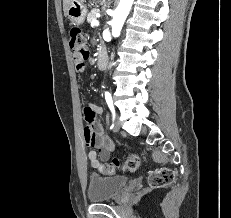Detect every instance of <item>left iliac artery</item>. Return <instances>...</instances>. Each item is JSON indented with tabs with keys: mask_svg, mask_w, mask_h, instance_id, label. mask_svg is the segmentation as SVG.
<instances>
[{
	"mask_svg": "<svg viewBox=\"0 0 231 218\" xmlns=\"http://www.w3.org/2000/svg\"><path fill=\"white\" fill-rule=\"evenodd\" d=\"M105 99H106L108 107L110 108V110H111V112L113 114V117H114L115 116V111H114L112 97H111V94L109 92H105Z\"/></svg>",
	"mask_w": 231,
	"mask_h": 218,
	"instance_id": "left-iliac-artery-1",
	"label": "left iliac artery"
}]
</instances>
